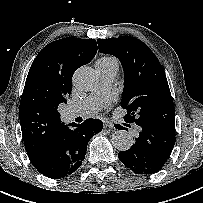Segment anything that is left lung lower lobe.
I'll list each match as a JSON object with an SVG mask.
<instances>
[{"instance_id":"1","label":"left lung lower lobe","mask_w":203,"mask_h":203,"mask_svg":"<svg viewBox=\"0 0 203 203\" xmlns=\"http://www.w3.org/2000/svg\"><path fill=\"white\" fill-rule=\"evenodd\" d=\"M175 139V130L152 125L139 126V135L135 138V143L130 149L119 152L118 157L136 174L157 173L171 154Z\"/></svg>"}]
</instances>
